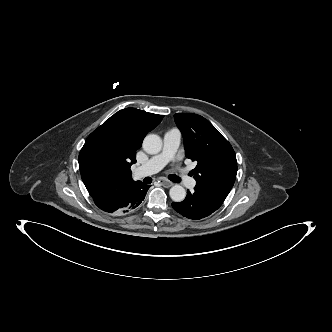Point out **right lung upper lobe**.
Segmentation results:
<instances>
[{
    "mask_svg": "<svg viewBox=\"0 0 332 332\" xmlns=\"http://www.w3.org/2000/svg\"><path fill=\"white\" fill-rule=\"evenodd\" d=\"M164 115L148 113L135 108L118 111L102 126H116L123 138L124 148L117 168L112 172L94 169L79 159V168L84 185L90 196L115 191L135 181L132 179L130 167L136 162V151L141 147L147 132L154 129Z\"/></svg>",
    "mask_w": 332,
    "mask_h": 332,
    "instance_id": "right-lung-upper-lobe-1",
    "label": "right lung upper lobe"
}]
</instances>
